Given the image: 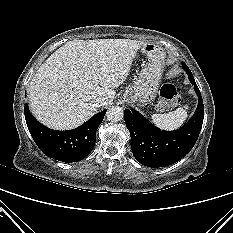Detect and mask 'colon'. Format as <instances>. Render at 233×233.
<instances>
[{"label": "colon", "mask_w": 233, "mask_h": 233, "mask_svg": "<svg viewBox=\"0 0 233 233\" xmlns=\"http://www.w3.org/2000/svg\"><path fill=\"white\" fill-rule=\"evenodd\" d=\"M180 102V93L174 84H165L160 90L158 107L160 110H167Z\"/></svg>", "instance_id": "obj_1"}]
</instances>
